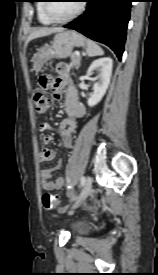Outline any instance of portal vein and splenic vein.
<instances>
[{
	"mask_svg": "<svg viewBox=\"0 0 158 275\" xmlns=\"http://www.w3.org/2000/svg\"><path fill=\"white\" fill-rule=\"evenodd\" d=\"M75 54H76L77 56H80V53H79V52H75Z\"/></svg>",
	"mask_w": 158,
	"mask_h": 275,
	"instance_id": "1",
	"label": "portal vein and splenic vein"
}]
</instances>
